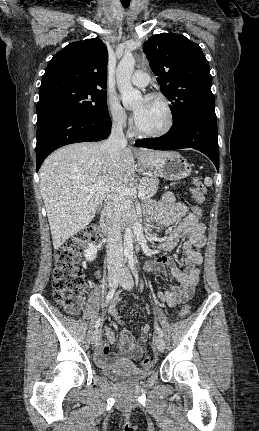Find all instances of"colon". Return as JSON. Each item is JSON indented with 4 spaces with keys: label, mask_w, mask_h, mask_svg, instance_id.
Segmentation results:
<instances>
[{
    "label": "colon",
    "mask_w": 259,
    "mask_h": 431,
    "mask_svg": "<svg viewBox=\"0 0 259 431\" xmlns=\"http://www.w3.org/2000/svg\"><path fill=\"white\" fill-rule=\"evenodd\" d=\"M205 186L199 178L194 179L192 196L198 202L191 205L193 218L199 220L202 211L199 203L205 200ZM100 231L96 227H90L74 238L67 240L55 254V265L53 271L54 299L58 305L70 314H77L80 311L81 301L84 295L85 279L81 255L91 244L98 241ZM190 314L188 304L182 306L179 311L181 318H186ZM152 363V359L146 356L141 364L145 367Z\"/></svg>",
    "instance_id": "5ec220e1"
}]
</instances>
